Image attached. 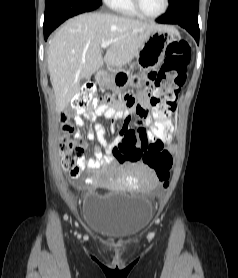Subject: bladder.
Masks as SVG:
<instances>
[{"mask_svg":"<svg viewBox=\"0 0 238 278\" xmlns=\"http://www.w3.org/2000/svg\"><path fill=\"white\" fill-rule=\"evenodd\" d=\"M153 217L150 200L139 194L111 191L86 197L83 223L110 239H126L144 231Z\"/></svg>","mask_w":238,"mask_h":278,"instance_id":"obj_1","label":"bladder"}]
</instances>
